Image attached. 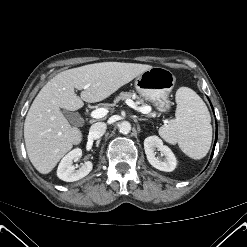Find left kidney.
<instances>
[{
  "label": "left kidney",
  "instance_id": "obj_1",
  "mask_svg": "<svg viewBox=\"0 0 247 247\" xmlns=\"http://www.w3.org/2000/svg\"><path fill=\"white\" fill-rule=\"evenodd\" d=\"M144 149L149 163L158 170L171 172L176 168L177 160L168 146L163 145L158 136H149L144 140ZM163 153L165 160L156 157L155 150Z\"/></svg>",
  "mask_w": 247,
  "mask_h": 247
}]
</instances>
